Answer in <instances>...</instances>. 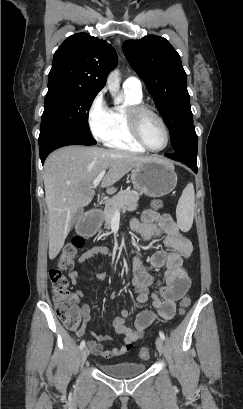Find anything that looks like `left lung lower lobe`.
<instances>
[{
	"instance_id": "1",
	"label": "left lung lower lobe",
	"mask_w": 243,
	"mask_h": 409,
	"mask_svg": "<svg viewBox=\"0 0 243 409\" xmlns=\"http://www.w3.org/2000/svg\"><path fill=\"white\" fill-rule=\"evenodd\" d=\"M190 134L192 135V137L197 141V135L193 127L189 128ZM166 157L171 158L173 160L182 162L184 164H186L188 167H190L195 173L197 172V163H196V159L191 158L190 156H188L187 154L179 151V150H174L173 153H166L165 154Z\"/></svg>"
}]
</instances>
